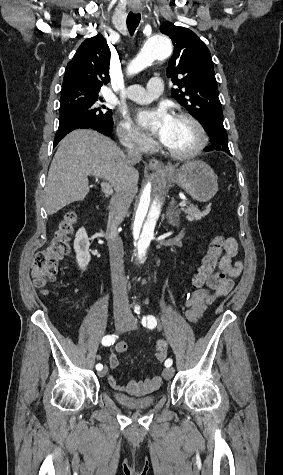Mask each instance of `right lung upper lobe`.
Wrapping results in <instances>:
<instances>
[{
    "label": "right lung upper lobe",
    "mask_w": 283,
    "mask_h": 475,
    "mask_svg": "<svg viewBox=\"0 0 283 475\" xmlns=\"http://www.w3.org/2000/svg\"><path fill=\"white\" fill-rule=\"evenodd\" d=\"M110 49L105 38L98 34L79 46L74 58L68 62L61 94H98L109 77Z\"/></svg>",
    "instance_id": "cb5924a9"
}]
</instances>
